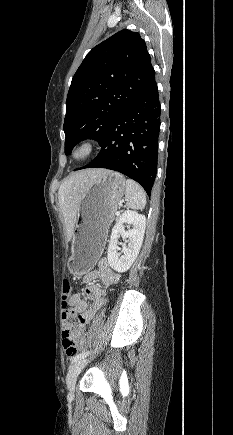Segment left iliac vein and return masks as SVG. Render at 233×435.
Returning a JSON list of instances; mask_svg holds the SVG:
<instances>
[{"mask_svg":"<svg viewBox=\"0 0 233 435\" xmlns=\"http://www.w3.org/2000/svg\"><path fill=\"white\" fill-rule=\"evenodd\" d=\"M87 362H88V360L85 358L79 359V360L75 361L72 364V366L70 367V369L68 370V373L66 376V384H67V388L71 394L73 393V391L75 389L77 377H78L79 373L81 372V370L84 368V366L87 364Z\"/></svg>","mask_w":233,"mask_h":435,"instance_id":"left-iliac-vein-1","label":"left iliac vein"}]
</instances>
